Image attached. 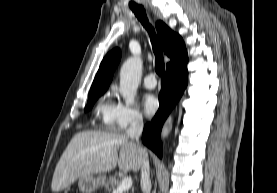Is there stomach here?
I'll return each instance as SVG.
<instances>
[{
  "label": "stomach",
  "instance_id": "obj_1",
  "mask_svg": "<svg viewBox=\"0 0 277 193\" xmlns=\"http://www.w3.org/2000/svg\"><path fill=\"white\" fill-rule=\"evenodd\" d=\"M106 184L105 176H94L93 174L79 178L78 187L82 193H93L97 188Z\"/></svg>",
  "mask_w": 277,
  "mask_h": 193
}]
</instances>
